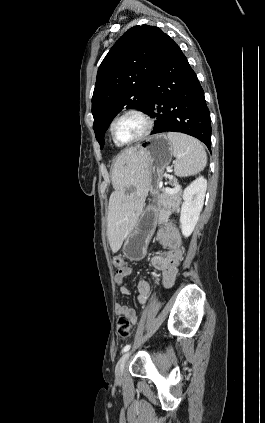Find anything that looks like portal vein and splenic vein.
Returning a JSON list of instances; mask_svg holds the SVG:
<instances>
[{"label": "portal vein and splenic vein", "mask_w": 265, "mask_h": 423, "mask_svg": "<svg viewBox=\"0 0 265 423\" xmlns=\"http://www.w3.org/2000/svg\"><path fill=\"white\" fill-rule=\"evenodd\" d=\"M166 191L170 193H176L178 191V187H175L174 189L166 188Z\"/></svg>", "instance_id": "portal-vein-and-splenic-vein-1"}]
</instances>
